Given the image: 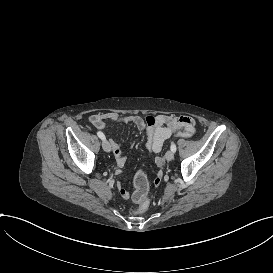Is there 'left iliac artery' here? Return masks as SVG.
<instances>
[{
    "label": "left iliac artery",
    "instance_id": "44dca946",
    "mask_svg": "<svg viewBox=\"0 0 273 273\" xmlns=\"http://www.w3.org/2000/svg\"><path fill=\"white\" fill-rule=\"evenodd\" d=\"M171 151H173V152L176 151V145L174 143L171 144Z\"/></svg>",
    "mask_w": 273,
    "mask_h": 273
}]
</instances>
